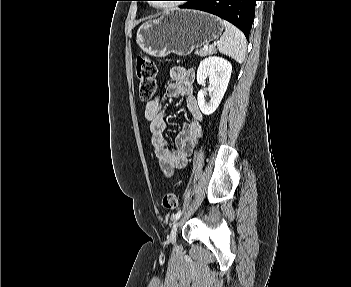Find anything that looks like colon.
<instances>
[{"instance_id":"1","label":"colon","mask_w":351,"mask_h":287,"mask_svg":"<svg viewBox=\"0 0 351 287\" xmlns=\"http://www.w3.org/2000/svg\"><path fill=\"white\" fill-rule=\"evenodd\" d=\"M136 74L139 80V94L143 101L150 100L156 92L157 68L154 61L146 55L136 58ZM162 205L166 210L178 208L179 200L175 193H167L162 199Z\"/></svg>"}]
</instances>
